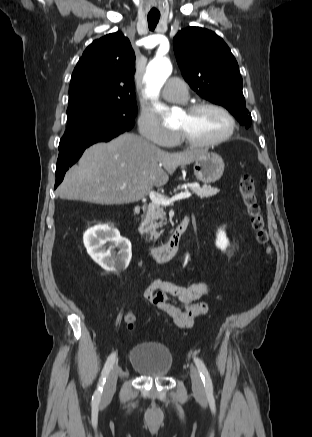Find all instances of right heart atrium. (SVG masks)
<instances>
[{"label":"right heart atrium","mask_w":312,"mask_h":437,"mask_svg":"<svg viewBox=\"0 0 312 437\" xmlns=\"http://www.w3.org/2000/svg\"><path fill=\"white\" fill-rule=\"evenodd\" d=\"M138 130L143 138L162 147L175 143L177 134L167 129L159 117L150 111H142L138 118Z\"/></svg>","instance_id":"right-heart-atrium-1"}]
</instances>
